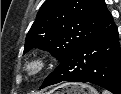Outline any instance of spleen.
<instances>
[{
	"mask_svg": "<svg viewBox=\"0 0 121 94\" xmlns=\"http://www.w3.org/2000/svg\"><path fill=\"white\" fill-rule=\"evenodd\" d=\"M103 94H109L107 91H104Z\"/></svg>",
	"mask_w": 121,
	"mask_h": 94,
	"instance_id": "3e777b00",
	"label": "spleen"
}]
</instances>
